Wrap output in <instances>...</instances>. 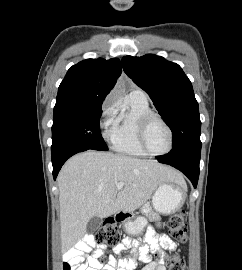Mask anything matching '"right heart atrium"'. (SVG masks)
<instances>
[{
  "instance_id": "1",
  "label": "right heart atrium",
  "mask_w": 242,
  "mask_h": 270,
  "mask_svg": "<svg viewBox=\"0 0 242 270\" xmlns=\"http://www.w3.org/2000/svg\"><path fill=\"white\" fill-rule=\"evenodd\" d=\"M117 109L118 104L114 98H109L103 107L101 127L104 129L106 137L108 136L109 130L114 125Z\"/></svg>"
}]
</instances>
